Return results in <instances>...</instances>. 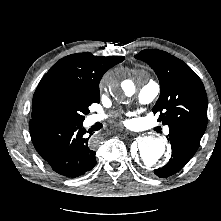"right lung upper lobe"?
I'll list each match as a JSON object with an SVG mask.
<instances>
[{
  "label": "right lung upper lobe",
  "mask_w": 221,
  "mask_h": 221,
  "mask_svg": "<svg viewBox=\"0 0 221 221\" xmlns=\"http://www.w3.org/2000/svg\"><path fill=\"white\" fill-rule=\"evenodd\" d=\"M123 60L124 57L120 56L100 57L91 53L66 56L50 68L36 90L51 80H61L91 91L99 90V81L104 73Z\"/></svg>",
  "instance_id": "obj_1"
}]
</instances>
